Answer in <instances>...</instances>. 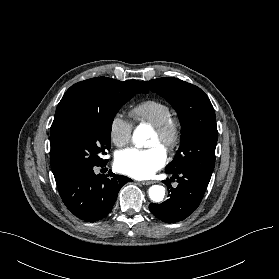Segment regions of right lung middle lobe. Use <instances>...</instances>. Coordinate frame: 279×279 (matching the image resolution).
I'll return each mask as SVG.
<instances>
[{
    "mask_svg": "<svg viewBox=\"0 0 279 279\" xmlns=\"http://www.w3.org/2000/svg\"><path fill=\"white\" fill-rule=\"evenodd\" d=\"M136 93L132 89L109 91L99 107L77 108L63 120L56 143L67 176L107 163L102 156L110 149L113 119Z\"/></svg>",
    "mask_w": 279,
    "mask_h": 279,
    "instance_id": "obj_1",
    "label": "right lung middle lobe"
}]
</instances>
